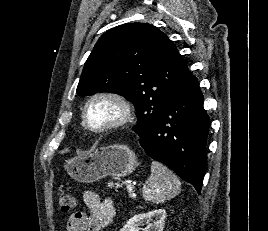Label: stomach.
Listing matches in <instances>:
<instances>
[{"label":"stomach","instance_id":"1","mask_svg":"<svg viewBox=\"0 0 268 231\" xmlns=\"http://www.w3.org/2000/svg\"><path fill=\"white\" fill-rule=\"evenodd\" d=\"M137 166L135 153L125 145L115 144L68 159L64 168L74 180L92 183L107 176L125 177Z\"/></svg>","mask_w":268,"mask_h":231}]
</instances>
